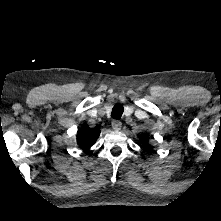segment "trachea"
Returning a JSON list of instances; mask_svg holds the SVG:
<instances>
[{"label": "trachea", "instance_id": "3493384b", "mask_svg": "<svg viewBox=\"0 0 221 221\" xmlns=\"http://www.w3.org/2000/svg\"><path fill=\"white\" fill-rule=\"evenodd\" d=\"M123 111H124V108L121 104L120 105H115L112 109L111 117L113 119H120L122 114H123Z\"/></svg>", "mask_w": 221, "mask_h": 221}]
</instances>
